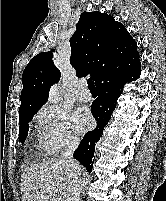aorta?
<instances>
[{
    "instance_id": "aorta-1",
    "label": "aorta",
    "mask_w": 166,
    "mask_h": 201,
    "mask_svg": "<svg viewBox=\"0 0 166 201\" xmlns=\"http://www.w3.org/2000/svg\"><path fill=\"white\" fill-rule=\"evenodd\" d=\"M62 100L59 88L57 86H54L51 88L49 93V101L51 103H59Z\"/></svg>"
}]
</instances>
